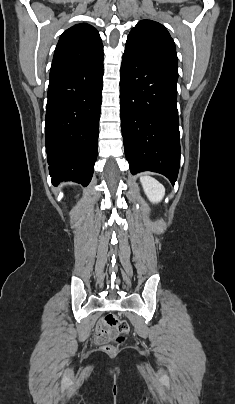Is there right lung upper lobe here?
I'll use <instances>...</instances> for the list:
<instances>
[{
    "label": "right lung upper lobe",
    "instance_id": "1",
    "mask_svg": "<svg viewBox=\"0 0 235 404\" xmlns=\"http://www.w3.org/2000/svg\"><path fill=\"white\" fill-rule=\"evenodd\" d=\"M102 59L103 45L98 31L87 23H81L61 35L51 70L95 63Z\"/></svg>",
    "mask_w": 235,
    "mask_h": 404
}]
</instances>
